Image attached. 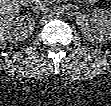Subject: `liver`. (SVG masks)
Instances as JSON below:
<instances>
[{
  "instance_id": "liver-1",
  "label": "liver",
  "mask_w": 111,
  "mask_h": 106,
  "mask_svg": "<svg viewBox=\"0 0 111 106\" xmlns=\"http://www.w3.org/2000/svg\"><path fill=\"white\" fill-rule=\"evenodd\" d=\"M23 5L21 0H1L0 1V44H6L7 33L10 30V21L17 16Z\"/></svg>"
}]
</instances>
